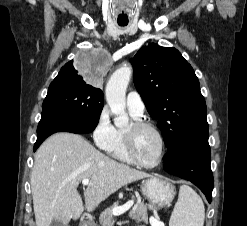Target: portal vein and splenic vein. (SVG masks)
<instances>
[{
	"label": "portal vein and splenic vein",
	"instance_id": "1",
	"mask_svg": "<svg viewBox=\"0 0 247 226\" xmlns=\"http://www.w3.org/2000/svg\"><path fill=\"white\" fill-rule=\"evenodd\" d=\"M82 184L84 186L88 185L89 184V179H83L82 180ZM132 205H133V201H128L124 205H121V206H118V207L114 208L113 211H112V213L115 216L120 215V214H123L127 210H129L132 207Z\"/></svg>",
	"mask_w": 247,
	"mask_h": 226
}]
</instances>
